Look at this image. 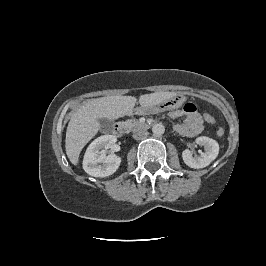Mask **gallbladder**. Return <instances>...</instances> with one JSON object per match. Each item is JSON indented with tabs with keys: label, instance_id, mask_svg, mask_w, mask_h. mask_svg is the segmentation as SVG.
Wrapping results in <instances>:
<instances>
[{
	"label": "gallbladder",
	"instance_id": "gallbladder-1",
	"mask_svg": "<svg viewBox=\"0 0 266 266\" xmlns=\"http://www.w3.org/2000/svg\"><path fill=\"white\" fill-rule=\"evenodd\" d=\"M100 127L102 130L109 131L113 129V121L107 118H100L99 120Z\"/></svg>",
	"mask_w": 266,
	"mask_h": 266
}]
</instances>
